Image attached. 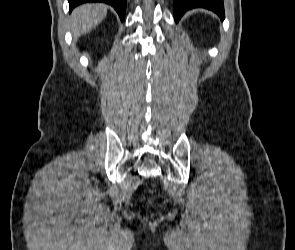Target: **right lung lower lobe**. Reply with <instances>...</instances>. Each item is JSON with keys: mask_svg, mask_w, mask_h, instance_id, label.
<instances>
[{"mask_svg": "<svg viewBox=\"0 0 295 250\" xmlns=\"http://www.w3.org/2000/svg\"><path fill=\"white\" fill-rule=\"evenodd\" d=\"M69 6H70V12L72 11L73 8L78 6L79 4L82 3H87V2H104L107 3L115 8L117 13L120 16L121 21L124 20L125 17V11H126V0H68Z\"/></svg>", "mask_w": 295, "mask_h": 250, "instance_id": "right-lung-lower-lobe-1", "label": "right lung lower lobe"}]
</instances>
